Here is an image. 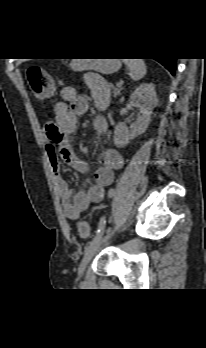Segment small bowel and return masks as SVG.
Here are the masks:
<instances>
[{"label":"small bowel","instance_id":"small-bowel-1","mask_svg":"<svg viewBox=\"0 0 206 348\" xmlns=\"http://www.w3.org/2000/svg\"><path fill=\"white\" fill-rule=\"evenodd\" d=\"M84 82L90 90L95 108L105 109L110 99L108 82L95 73L85 74ZM60 97L61 100L54 105L55 118L45 129V152L55 177L56 190L63 204L65 216L69 220H77L92 204L104 199L106 187L113 182L114 173L122 168L124 159L115 149L104 151L102 165L94 172V182L86 191L73 194L69 180L62 173L61 162H68L81 171L87 170L86 163L74 156L68 137L77 128V118L88 111L89 98L79 94L71 85L62 87ZM92 128L99 135L106 134L108 123L105 117H95Z\"/></svg>","mask_w":206,"mask_h":348}]
</instances>
